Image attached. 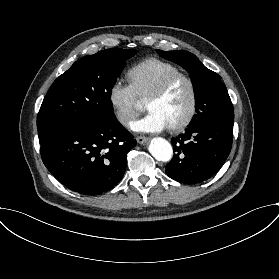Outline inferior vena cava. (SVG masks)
I'll return each instance as SVG.
<instances>
[{"label":"inferior vena cava","instance_id":"602c4592","mask_svg":"<svg viewBox=\"0 0 279 279\" xmlns=\"http://www.w3.org/2000/svg\"><path fill=\"white\" fill-rule=\"evenodd\" d=\"M123 119H124L123 122H127L129 120V118L127 116H124Z\"/></svg>","mask_w":279,"mask_h":279}]
</instances>
